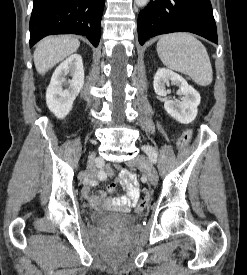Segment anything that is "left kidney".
Returning <instances> with one entry per match:
<instances>
[{
  "instance_id": "obj_1",
  "label": "left kidney",
  "mask_w": 247,
  "mask_h": 275,
  "mask_svg": "<svg viewBox=\"0 0 247 275\" xmlns=\"http://www.w3.org/2000/svg\"><path fill=\"white\" fill-rule=\"evenodd\" d=\"M170 82L179 87L178 92L183 97L179 102L166 99L164 109L178 122L189 124L197 116V107L201 100L200 94L181 75L165 68L158 69L154 76L153 87L155 93L166 97L169 92L166 90V85H169Z\"/></svg>"
}]
</instances>
